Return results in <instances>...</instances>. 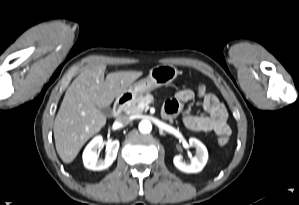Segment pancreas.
Returning a JSON list of instances; mask_svg holds the SVG:
<instances>
[{
	"instance_id": "cf45deb5",
	"label": "pancreas",
	"mask_w": 299,
	"mask_h": 205,
	"mask_svg": "<svg viewBox=\"0 0 299 205\" xmlns=\"http://www.w3.org/2000/svg\"><path fill=\"white\" fill-rule=\"evenodd\" d=\"M153 101V96L151 94L140 95L134 100H132L129 104L124 106L123 111L126 115H135L143 112L144 108L139 107L141 103L145 106L150 104Z\"/></svg>"
}]
</instances>
